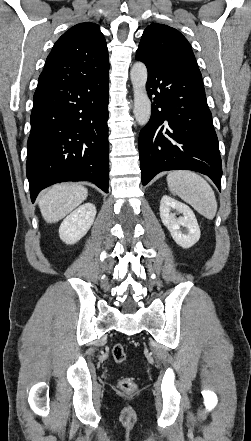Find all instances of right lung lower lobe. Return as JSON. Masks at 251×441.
<instances>
[{
  "mask_svg": "<svg viewBox=\"0 0 251 441\" xmlns=\"http://www.w3.org/2000/svg\"><path fill=\"white\" fill-rule=\"evenodd\" d=\"M109 69L76 80L38 82L26 173L32 202L58 182L90 181L108 193Z\"/></svg>",
  "mask_w": 251,
  "mask_h": 441,
  "instance_id": "right-lung-lower-lobe-1",
  "label": "right lung lower lobe"
}]
</instances>
